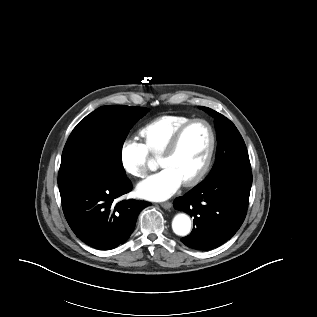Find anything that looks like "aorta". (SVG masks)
Returning <instances> with one entry per match:
<instances>
[{"label":"aorta","instance_id":"obj_1","mask_svg":"<svg viewBox=\"0 0 317 317\" xmlns=\"http://www.w3.org/2000/svg\"><path fill=\"white\" fill-rule=\"evenodd\" d=\"M172 229L176 235L187 236L191 231V219L185 213L177 214L172 221Z\"/></svg>","mask_w":317,"mask_h":317}]
</instances>
